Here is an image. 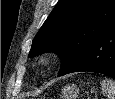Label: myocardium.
<instances>
[{
	"label": "myocardium",
	"instance_id": "myocardium-1",
	"mask_svg": "<svg viewBox=\"0 0 115 99\" xmlns=\"http://www.w3.org/2000/svg\"><path fill=\"white\" fill-rule=\"evenodd\" d=\"M56 60V55L53 52H45L38 57V64L41 67L51 66Z\"/></svg>",
	"mask_w": 115,
	"mask_h": 99
}]
</instances>
